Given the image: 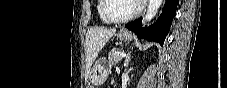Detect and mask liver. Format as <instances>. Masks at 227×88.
Wrapping results in <instances>:
<instances>
[{
	"mask_svg": "<svg viewBox=\"0 0 227 88\" xmlns=\"http://www.w3.org/2000/svg\"><path fill=\"white\" fill-rule=\"evenodd\" d=\"M116 29L92 27L86 34V67L89 70L99 52L107 41L115 34Z\"/></svg>",
	"mask_w": 227,
	"mask_h": 88,
	"instance_id": "obj_1",
	"label": "liver"
}]
</instances>
